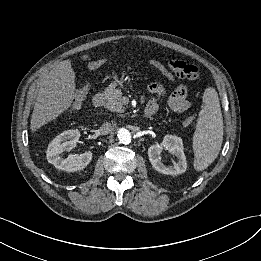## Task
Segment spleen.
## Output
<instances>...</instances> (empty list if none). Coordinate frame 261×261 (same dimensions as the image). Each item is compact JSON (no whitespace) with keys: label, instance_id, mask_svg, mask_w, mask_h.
Masks as SVG:
<instances>
[{"label":"spleen","instance_id":"spleen-1","mask_svg":"<svg viewBox=\"0 0 261 261\" xmlns=\"http://www.w3.org/2000/svg\"><path fill=\"white\" fill-rule=\"evenodd\" d=\"M222 141L223 119L218 94L215 89L208 88L193 136L195 170L206 169L217 158Z\"/></svg>","mask_w":261,"mask_h":261}]
</instances>
